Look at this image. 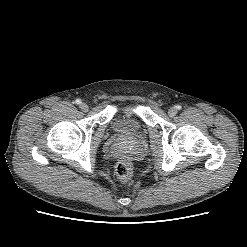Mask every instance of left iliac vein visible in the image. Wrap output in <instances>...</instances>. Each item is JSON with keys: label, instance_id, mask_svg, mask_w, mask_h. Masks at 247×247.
<instances>
[{"label": "left iliac vein", "instance_id": "1", "mask_svg": "<svg viewBox=\"0 0 247 247\" xmlns=\"http://www.w3.org/2000/svg\"><path fill=\"white\" fill-rule=\"evenodd\" d=\"M176 114H177V109H176V108L171 107V108L168 110V115H169L170 117H174Z\"/></svg>", "mask_w": 247, "mask_h": 247}]
</instances>
